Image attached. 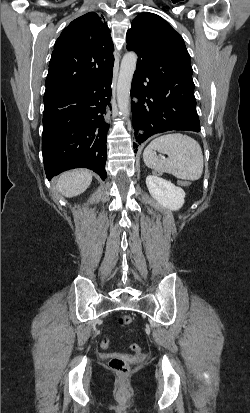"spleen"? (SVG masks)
Masks as SVG:
<instances>
[{"label":"spleen","mask_w":250,"mask_h":413,"mask_svg":"<svg viewBox=\"0 0 250 413\" xmlns=\"http://www.w3.org/2000/svg\"><path fill=\"white\" fill-rule=\"evenodd\" d=\"M155 151L168 155V158L159 159ZM143 160L155 171L191 181L201 177L204 167L199 143L181 133L166 134L151 141L144 150Z\"/></svg>","instance_id":"obj_1"}]
</instances>
